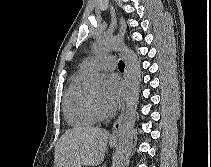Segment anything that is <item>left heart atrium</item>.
Instances as JSON below:
<instances>
[{
    "mask_svg": "<svg viewBox=\"0 0 211 167\" xmlns=\"http://www.w3.org/2000/svg\"><path fill=\"white\" fill-rule=\"evenodd\" d=\"M123 92L124 87L121 80L114 75L110 76L102 99V105L106 113H113L119 107Z\"/></svg>",
    "mask_w": 211,
    "mask_h": 167,
    "instance_id": "left-heart-atrium-1",
    "label": "left heart atrium"
}]
</instances>
